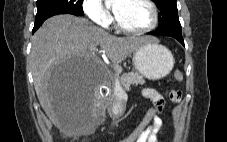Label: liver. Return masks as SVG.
I'll return each mask as SVG.
<instances>
[{
    "label": "liver",
    "mask_w": 227,
    "mask_h": 142,
    "mask_svg": "<svg viewBox=\"0 0 227 142\" xmlns=\"http://www.w3.org/2000/svg\"><path fill=\"white\" fill-rule=\"evenodd\" d=\"M152 37H116L91 25L86 19L70 14L55 15L47 19L32 37L30 63L34 87L46 115L63 133H83L85 121L95 115L99 99L97 88L104 78L95 71L99 46L115 65L123 62L138 47ZM58 61H93L87 88H52L49 81ZM67 90V91H66ZM66 91V94H61Z\"/></svg>",
    "instance_id": "obj_1"
}]
</instances>
